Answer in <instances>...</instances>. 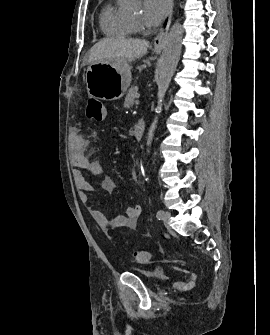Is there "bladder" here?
Segmentation results:
<instances>
[{
    "label": "bladder",
    "mask_w": 270,
    "mask_h": 335,
    "mask_svg": "<svg viewBox=\"0 0 270 335\" xmlns=\"http://www.w3.org/2000/svg\"><path fill=\"white\" fill-rule=\"evenodd\" d=\"M157 271H160L157 273ZM132 272L140 278L150 281L152 284H157L160 278L164 277V270L157 269L155 272H143L141 270L132 269Z\"/></svg>",
    "instance_id": "1"
}]
</instances>
